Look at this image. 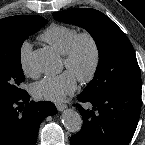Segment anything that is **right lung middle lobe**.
Returning <instances> with one entry per match:
<instances>
[{"label":"right lung middle lobe","mask_w":145,"mask_h":145,"mask_svg":"<svg viewBox=\"0 0 145 145\" xmlns=\"http://www.w3.org/2000/svg\"><path fill=\"white\" fill-rule=\"evenodd\" d=\"M47 22L38 15H24L10 24L0 36L6 45L0 50V97L13 98L26 92L20 87L25 80L20 60L21 46Z\"/></svg>","instance_id":"obj_1"}]
</instances>
